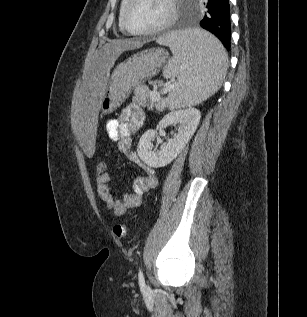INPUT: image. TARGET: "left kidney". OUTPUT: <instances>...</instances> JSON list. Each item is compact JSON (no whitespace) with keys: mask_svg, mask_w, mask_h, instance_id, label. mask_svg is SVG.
Masks as SVG:
<instances>
[{"mask_svg":"<svg viewBox=\"0 0 307 317\" xmlns=\"http://www.w3.org/2000/svg\"><path fill=\"white\" fill-rule=\"evenodd\" d=\"M201 113L198 109L188 108L172 111L160 121L156 130H147L140 138L137 152L140 159L150 167L158 168L169 164L180 153L190 140L199 125ZM169 125H178V132L173 134L167 143L161 145L160 150H152L151 141L155 139L157 130Z\"/></svg>","mask_w":307,"mask_h":317,"instance_id":"left-kidney-1","label":"left kidney"}]
</instances>
